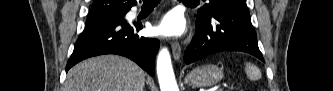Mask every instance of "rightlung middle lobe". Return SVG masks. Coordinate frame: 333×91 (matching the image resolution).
Returning a JSON list of instances; mask_svg holds the SVG:
<instances>
[{
  "instance_id": "1",
  "label": "right lung middle lobe",
  "mask_w": 333,
  "mask_h": 91,
  "mask_svg": "<svg viewBox=\"0 0 333 91\" xmlns=\"http://www.w3.org/2000/svg\"><path fill=\"white\" fill-rule=\"evenodd\" d=\"M127 12H124V13H119V14H116V15H113V16H124Z\"/></svg>"
}]
</instances>
